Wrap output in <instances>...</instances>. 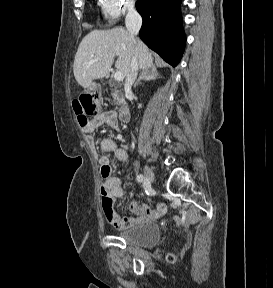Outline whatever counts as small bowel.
Listing matches in <instances>:
<instances>
[{"label":"small bowel","instance_id":"1","mask_svg":"<svg viewBox=\"0 0 273 288\" xmlns=\"http://www.w3.org/2000/svg\"><path fill=\"white\" fill-rule=\"evenodd\" d=\"M102 127L119 129V124L113 111H105L99 114L90 121L88 127L84 128L85 138L90 147H94V132ZM100 149L104 153H112L122 162H126L128 159L126 150L118 147L111 138L103 139L100 142ZM97 160L103 179L100 188L102 208L107 221L112 226L118 229L129 228L138 223L159 218L166 212V206L164 204H158L151 208L139 202H131L129 209L134 216L121 217L118 215L114 209V201L123 195L121 180L113 175L108 156H97Z\"/></svg>","mask_w":273,"mask_h":288}]
</instances>
